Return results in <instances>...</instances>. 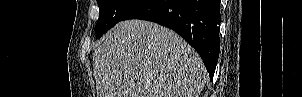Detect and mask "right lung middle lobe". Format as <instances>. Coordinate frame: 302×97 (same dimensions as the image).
<instances>
[{
  "label": "right lung middle lobe",
  "instance_id": "obj_1",
  "mask_svg": "<svg viewBox=\"0 0 302 97\" xmlns=\"http://www.w3.org/2000/svg\"><path fill=\"white\" fill-rule=\"evenodd\" d=\"M141 0H97L99 19L95 26L97 38L122 21L123 17Z\"/></svg>",
  "mask_w": 302,
  "mask_h": 97
}]
</instances>
